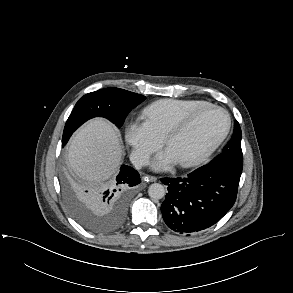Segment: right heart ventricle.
I'll use <instances>...</instances> for the list:
<instances>
[{
	"label": "right heart ventricle",
	"mask_w": 293,
	"mask_h": 293,
	"mask_svg": "<svg viewBox=\"0 0 293 293\" xmlns=\"http://www.w3.org/2000/svg\"><path fill=\"white\" fill-rule=\"evenodd\" d=\"M209 104L194 99H163L153 102L143 109V116L161 137L188 113Z\"/></svg>",
	"instance_id": "right-heart-ventricle-1"
}]
</instances>
